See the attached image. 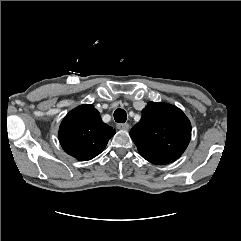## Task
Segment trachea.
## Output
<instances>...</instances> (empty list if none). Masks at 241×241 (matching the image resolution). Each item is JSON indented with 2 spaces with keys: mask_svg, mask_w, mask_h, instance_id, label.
Instances as JSON below:
<instances>
[{
  "mask_svg": "<svg viewBox=\"0 0 241 241\" xmlns=\"http://www.w3.org/2000/svg\"><path fill=\"white\" fill-rule=\"evenodd\" d=\"M114 119L116 122L124 123L127 119V114L123 109H116L114 112Z\"/></svg>",
  "mask_w": 241,
  "mask_h": 241,
  "instance_id": "trachea-1",
  "label": "trachea"
}]
</instances>
